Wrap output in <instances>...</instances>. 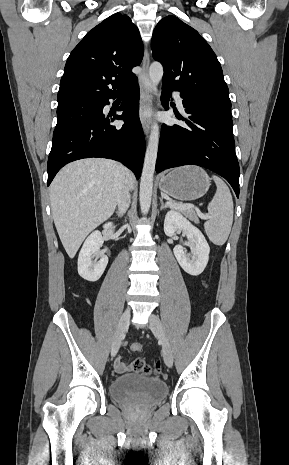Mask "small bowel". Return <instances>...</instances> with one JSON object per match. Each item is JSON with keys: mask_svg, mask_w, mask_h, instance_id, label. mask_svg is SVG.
<instances>
[{"mask_svg": "<svg viewBox=\"0 0 289 465\" xmlns=\"http://www.w3.org/2000/svg\"><path fill=\"white\" fill-rule=\"evenodd\" d=\"M132 365H128L118 357L115 361V370L117 373L122 374L132 369Z\"/></svg>", "mask_w": 289, "mask_h": 465, "instance_id": "obj_1", "label": "small bowel"}]
</instances>
